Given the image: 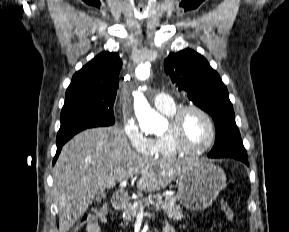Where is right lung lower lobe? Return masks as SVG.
Returning <instances> with one entry per match:
<instances>
[{"label":"right lung lower lobe","instance_id":"right-lung-lower-lobe-1","mask_svg":"<svg viewBox=\"0 0 289 232\" xmlns=\"http://www.w3.org/2000/svg\"><path fill=\"white\" fill-rule=\"evenodd\" d=\"M62 146H63V145L57 146V152H56V155H55V157H54L53 164L56 162L57 157H58V155H59V153H60V151H61Z\"/></svg>","mask_w":289,"mask_h":232}]
</instances>
